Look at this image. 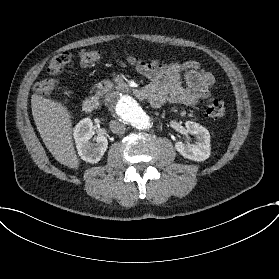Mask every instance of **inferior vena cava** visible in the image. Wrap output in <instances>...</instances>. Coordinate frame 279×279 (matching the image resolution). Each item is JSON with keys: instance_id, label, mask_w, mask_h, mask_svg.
<instances>
[{"instance_id": "obj_1", "label": "inferior vena cava", "mask_w": 279, "mask_h": 279, "mask_svg": "<svg viewBox=\"0 0 279 279\" xmlns=\"http://www.w3.org/2000/svg\"><path fill=\"white\" fill-rule=\"evenodd\" d=\"M109 127H110L111 131L115 134H123L126 129L125 124L118 120H111L109 122Z\"/></svg>"}]
</instances>
